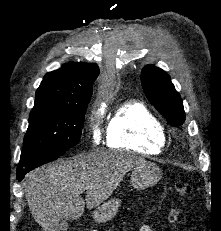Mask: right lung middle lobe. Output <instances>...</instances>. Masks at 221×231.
<instances>
[{"label":"right lung middle lobe","instance_id":"right-lung-middle-lobe-1","mask_svg":"<svg viewBox=\"0 0 221 231\" xmlns=\"http://www.w3.org/2000/svg\"><path fill=\"white\" fill-rule=\"evenodd\" d=\"M89 101L34 107L23 141L18 166L39 158L65 153L79 143Z\"/></svg>","mask_w":221,"mask_h":231}]
</instances>
